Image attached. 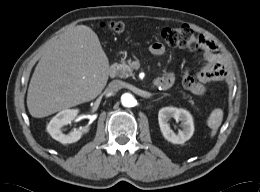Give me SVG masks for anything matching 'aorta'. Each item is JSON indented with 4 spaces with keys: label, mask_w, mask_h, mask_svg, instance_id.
<instances>
[{
    "label": "aorta",
    "mask_w": 260,
    "mask_h": 192,
    "mask_svg": "<svg viewBox=\"0 0 260 192\" xmlns=\"http://www.w3.org/2000/svg\"><path fill=\"white\" fill-rule=\"evenodd\" d=\"M121 103L124 107H132L135 105V98L130 93H124L121 96Z\"/></svg>",
    "instance_id": "aorta-1"
}]
</instances>
